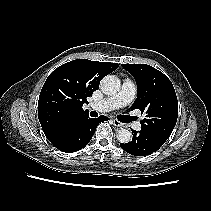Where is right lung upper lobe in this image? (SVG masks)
Listing matches in <instances>:
<instances>
[{
	"label": "right lung upper lobe",
	"mask_w": 211,
	"mask_h": 211,
	"mask_svg": "<svg viewBox=\"0 0 211 211\" xmlns=\"http://www.w3.org/2000/svg\"><path fill=\"white\" fill-rule=\"evenodd\" d=\"M119 64L77 59L56 68L45 81L38 101L44 134L52 137L64 124L88 116L82 106L99 88L101 79Z\"/></svg>",
	"instance_id": "1"
}]
</instances>
